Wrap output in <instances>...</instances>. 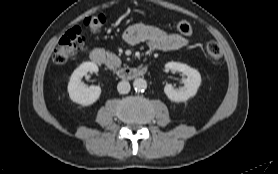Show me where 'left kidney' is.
<instances>
[{"label":"left kidney","mask_w":278,"mask_h":174,"mask_svg":"<svg viewBox=\"0 0 278 174\" xmlns=\"http://www.w3.org/2000/svg\"><path fill=\"white\" fill-rule=\"evenodd\" d=\"M165 67L173 71L181 72L187 77L183 80L184 87L180 89L173 88L171 84L165 85L164 92L171 101L185 102L196 95L201 85V75L196 69L178 62H168Z\"/></svg>","instance_id":"left-kidney-1"}]
</instances>
